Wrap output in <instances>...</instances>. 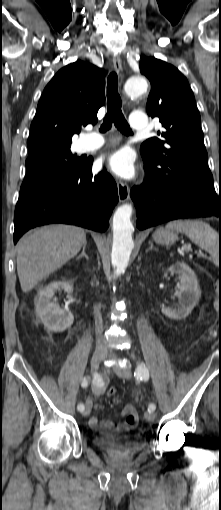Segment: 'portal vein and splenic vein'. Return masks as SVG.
Here are the masks:
<instances>
[{
	"instance_id": "obj_1",
	"label": "portal vein and splenic vein",
	"mask_w": 221,
	"mask_h": 510,
	"mask_svg": "<svg viewBox=\"0 0 221 510\" xmlns=\"http://www.w3.org/2000/svg\"><path fill=\"white\" fill-rule=\"evenodd\" d=\"M185 249L190 250L188 247H185Z\"/></svg>"
}]
</instances>
